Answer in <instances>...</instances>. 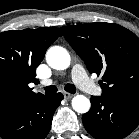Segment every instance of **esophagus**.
Masks as SVG:
<instances>
[{
  "label": "esophagus",
  "mask_w": 139,
  "mask_h": 139,
  "mask_svg": "<svg viewBox=\"0 0 139 139\" xmlns=\"http://www.w3.org/2000/svg\"><path fill=\"white\" fill-rule=\"evenodd\" d=\"M63 95L66 99H71L73 97V94L68 93V92H64Z\"/></svg>",
  "instance_id": "1"
}]
</instances>
